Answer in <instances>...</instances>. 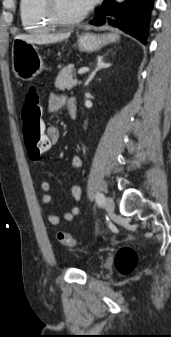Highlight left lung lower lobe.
<instances>
[{
  "label": "left lung lower lobe",
  "instance_id": "left-lung-lower-lobe-1",
  "mask_svg": "<svg viewBox=\"0 0 171 337\" xmlns=\"http://www.w3.org/2000/svg\"><path fill=\"white\" fill-rule=\"evenodd\" d=\"M154 0H127L117 4L106 0L90 24L99 26L108 23L146 44L150 13ZM105 15H109L106 19Z\"/></svg>",
  "mask_w": 171,
  "mask_h": 337
}]
</instances>
